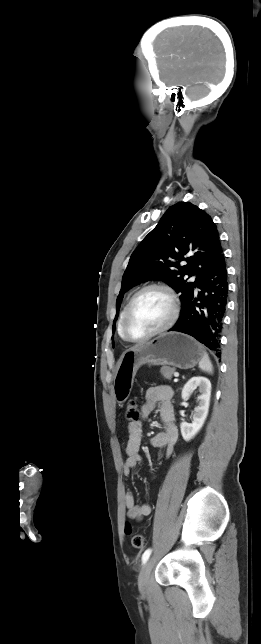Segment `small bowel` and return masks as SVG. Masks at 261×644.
I'll return each instance as SVG.
<instances>
[{
	"label": "small bowel",
	"instance_id": "c3829d8e",
	"mask_svg": "<svg viewBox=\"0 0 261 644\" xmlns=\"http://www.w3.org/2000/svg\"><path fill=\"white\" fill-rule=\"evenodd\" d=\"M172 397L173 391L168 386L151 387L146 391L145 401L141 407L142 420H144L160 405L159 413L164 430L152 436L150 443L155 448L165 447L167 457L172 455L179 440V431L174 423ZM142 420L128 424V441L125 448L126 458L123 463L125 476H129L131 471L142 461L139 454L143 432ZM124 501L128 518L140 520L151 512L150 505L146 502L137 504L130 491L126 492Z\"/></svg>",
	"mask_w": 261,
	"mask_h": 644
}]
</instances>
